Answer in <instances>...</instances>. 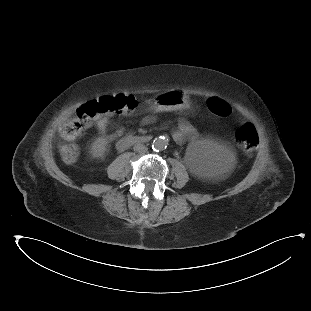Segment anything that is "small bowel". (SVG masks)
<instances>
[{
	"mask_svg": "<svg viewBox=\"0 0 311 311\" xmlns=\"http://www.w3.org/2000/svg\"><path fill=\"white\" fill-rule=\"evenodd\" d=\"M110 117L111 114H101L95 117L99 137L106 143L112 142L121 133L119 129L109 132L111 128ZM152 121V116H145L142 120L144 124H150ZM173 138L178 143L196 141L199 138V133L188 121L180 120L178 128L173 133Z\"/></svg>",
	"mask_w": 311,
	"mask_h": 311,
	"instance_id": "c3829d8e",
	"label": "small bowel"
}]
</instances>
